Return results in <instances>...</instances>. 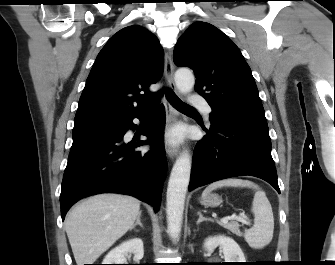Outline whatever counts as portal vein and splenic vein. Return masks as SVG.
Listing matches in <instances>:
<instances>
[{"mask_svg": "<svg viewBox=\"0 0 335 265\" xmlns=\"http://www.w3.org/2000/svg\"><path fill=\"white\" fill-rule=\"evenodd\" d=\"M230 220H237L241 222L242 224L250 225V222L245 217H239L234 214L231 216L224 217L221 221L222 223H228V221Z\"/></svg>", "mask_w": 335, "mask_h": 265, "instance_id": "portal-vein-and-splenic-vein-1", "label": "portal vein and splenic vein"}]
</instances>
